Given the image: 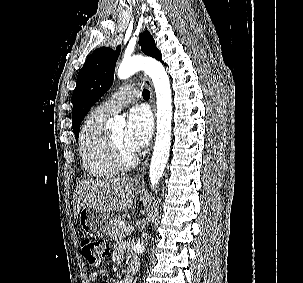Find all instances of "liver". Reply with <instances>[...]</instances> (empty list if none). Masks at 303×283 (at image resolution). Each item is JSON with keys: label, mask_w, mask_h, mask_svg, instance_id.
Returning <instances> with one entry per match:
<instances>
[{"label": "liver", "mask_w": 303, "mask_h": 283, "mask_svg": "<svg viewBox=\"0 0 303 283\" xmlns=\"http://www.w3.org/2000/svg\"><path fill=\"white\" fill-rule=\"evenodd\" d=\"M133 187L134 179L131 177L78 182L73 195L75 217L84 207L107 212H127L132 206Z\"/></svg>", "instance_id": "1"}]
</instances>
